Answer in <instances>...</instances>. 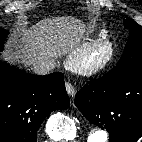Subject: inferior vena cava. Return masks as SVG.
<instances>
[{"instance_id": "602c4592", "label": "inferior vena cava", "mask_w": 142, "mask_h": 142, "mask_svg": "<svg viewBox=\"0 0 142 142\" xmlns=\"http://www.w3.org/2000/svg\"><path fill=\"white\" fill-rule=\"evenodd\" d=\"M56 66L54 60L48 59L33 66L34 73L38 75H46L51 73Z\"/></svg>"}]
</instances>
